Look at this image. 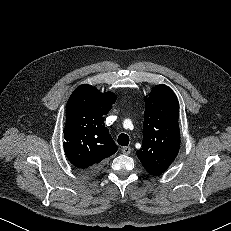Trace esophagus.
Masks as SVG:
<instances>
[{
  "mask_svg": "<svg viewBox=\"0 0 231 231\" xmlns=\"http://www.w3.org/2000/svg\"><path fill=\"white\" fill-rule=\"evenodd\" d=\"M122 153L125 155H129L131 153V148L130 147H123Z\"/></svg>",
  "mask_w": 231,
  "mask_h": 231,
  "instance_id": "34e87169",
  "label": "esophagus"
}]
</instances>
